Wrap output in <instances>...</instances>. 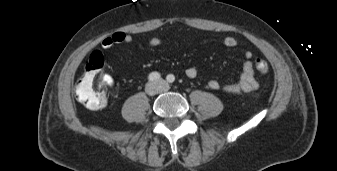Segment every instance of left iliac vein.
Wrapping results in <instances>:
<instances>
[{
    "mask_svg": "<svg viewBox=\"0 0 337 171\" xmlns=\"http://www.w3.org/2000/svg\"><path fill=\"white\" fill-rule=\"evenodd\" d=\"M157 84L160 86V90L161 91H165L166 90V85H165V83H164V81L163 80H159L158 82H157Z\"/></svg>",
    "mask_w": 337,
    "mask_h": 171,
    "instance_id": "4c4485c4",
    "label": "left iliac vein"
}]
</instances>
